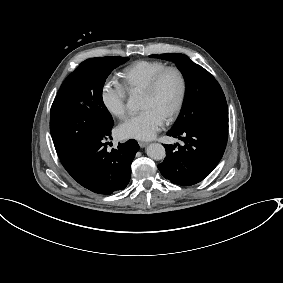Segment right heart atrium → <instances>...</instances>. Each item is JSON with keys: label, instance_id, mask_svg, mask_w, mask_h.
I'll use <instances>...</instances> for the list:
<instances>
[{"label": "right heart atrium", "instance_id": "obj_1", "mask_svg": "<svg viewBox=\"0 0 283 283\" xmlns=\"http://www.w3.org/2000/svg\"><path fill=\"white\" fill-rule=\"evenodd\" d=\"M101 100L113 116L123 119L127 113V91L117 79L109 78L101 86Z\"/></svg>", "mask_w": 283, "mask_h": 283}]
</instances>
